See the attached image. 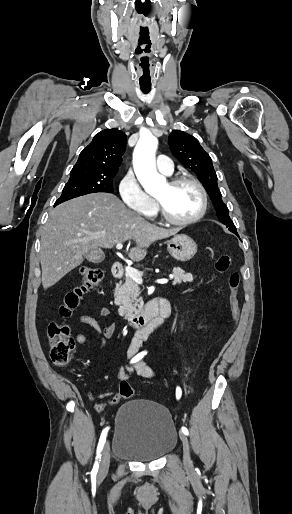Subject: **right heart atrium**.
<instances>
[{
	"instance_id": "right-heart-atrium-1",
	"label": "right heart atrium",
	"mask_w": 292,
	"mask_h": 514,
	"mask_svg": "<svg viewBox=\"0 0 292 514\" xmlns=\"http://www.w3.org/2000/svg\"><path fill=\"white\" fill-rule=\"evenodd\" d=\"M118 193L123 203L129 209H141L142 213L149 212L153 207L151 198L144 191L135 174L128 170L118 182Z\"/></svg>"
}]
</instances>
